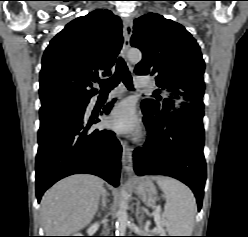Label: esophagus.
Masks as SVG:
<instances>
[{
	"label": "esophagus",
	"mask_w": 248,
	"mask_h": 237,
	"mask_svg": "<svg viewBox=\"0 0 248 237\" xmlns=\"http://www.w3.org/2000/svg\"><path fill=\"white\" fill-rule=\"evenodd\" d=\"M124 24V42L121 50L122 57L127 60V52L130 47V38L132 35V19L126 17L123 20ZM132 147L126 142H122V165L126 174L131 177L133 174V162H132Z\"/></svg>",
	"instance_id": "obj_1"
}]
</instances>
